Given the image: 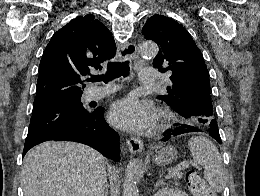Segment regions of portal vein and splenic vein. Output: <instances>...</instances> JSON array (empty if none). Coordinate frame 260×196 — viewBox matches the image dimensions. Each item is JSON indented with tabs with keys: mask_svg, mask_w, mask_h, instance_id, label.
I'll return each mask as SVG.
<instances>
[{
	"mask_svg": "<svg viewBox=\"0 0 260 196\" xmlns=\"http://www.w3.org/2000/svg\"><path fill=\"white\" fill-rule=\"evenodd\" d=\"M183 168H189V164H186V162H180L174 170H171L169 174L166 176V180H169V178H176V176H180L181 172L180 170H183Z\"/></svg>",
	"mask_w": 260,
	"mask_h": 196,
	"instance_id": "obj_1",
	"label": "portal vein and splenic vein"
}]
</instances>
